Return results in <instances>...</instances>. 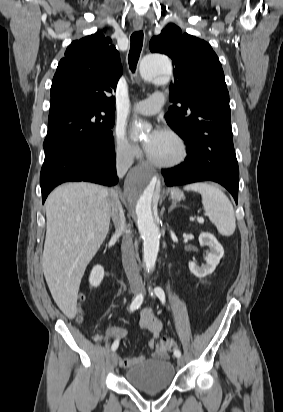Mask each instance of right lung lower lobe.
<instances>
[{
	"label": "right lung lower lobe",
	"instance_id": "1",
	"mask_svg": "<svg viewBox=\"0 0 283 412\" xmlns=\"http://www.w3.org/2000/svg\"><path fill=\"white\" fill-rule=\"evenodd\" d=\"M67 181H89L103 185L118 182L113 148L61 147L45 154L40 174L42 201L57 185Z\"/></svg>",
	"mask_w": 283,
	"mask_h": 412
}]
</instances>
